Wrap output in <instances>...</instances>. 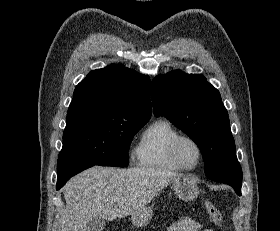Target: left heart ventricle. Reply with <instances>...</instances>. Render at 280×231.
Masks as SVG:
<instances>
[{
	"instance_id": "b2bd125f",
	"label": "left heart ventricle",
	"mask_w": 280,
	"mask_h": 231,
	"mask_svg": "<svg viewBox=\"0 0 280 231\" xmlns=\"http://www.w3.org/2000/svg\"><path fill=\"white\" fill-rule=\"evenodd\" d=\"M178 157L183 166L193 169L199 163L200 153L193 141L184 139L178 146Z\"/></svg>"
}]
</instances>
